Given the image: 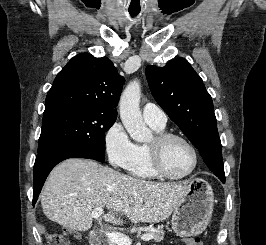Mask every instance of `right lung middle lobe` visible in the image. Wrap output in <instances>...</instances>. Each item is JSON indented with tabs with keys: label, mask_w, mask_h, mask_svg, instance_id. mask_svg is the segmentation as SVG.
Segmentation results:
<instances>
[{
	"label": "right lung middle lobe",
	"mask_w": 266,
	"mask_h": 245,
	"mask_svg": "<svg viewBox=\"0 0 266 245\" xmlns=\"http://www.w3.org/2000/svg\"><path fill=\"white\" fill-rule=\"evenodd\" d=\"M116 118V114L93 108L69 109L44 117L38 154L56 147H71L105 160V132Z\"/></svg>",
	"instance_id": "1"
}]
</instances>
